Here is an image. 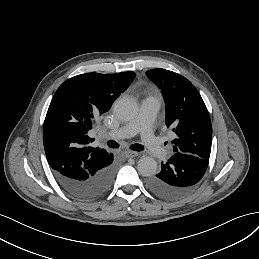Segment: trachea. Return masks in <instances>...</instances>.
I'll return each instance as SVG.
<instances>
[{"instance_id": "obj_1", "label": "trachea", "mask_w": 259, "mask_h": 259, "mask_svg": "<svg viewBox=\"0 0 259 259\" xmlns=\"http://www.w3.org/2000/svg\"><path fill=\"white\" fill-rule=\"evenodd\" d=\"M107 146L110 147V148H119V144L116 141H114V140H109L107 142ZM130 148L132 150L138 151V152L145 150L144 145H141V144H133V145H131Z\"/></svg>"}]
</instances>
